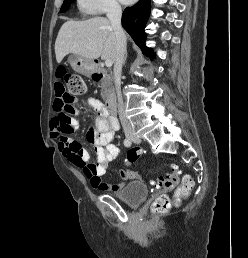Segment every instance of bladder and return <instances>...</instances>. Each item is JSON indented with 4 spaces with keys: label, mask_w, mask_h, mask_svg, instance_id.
<instances>
[{
    "label": "bladder",
    "mask_w": 248,
    "mask_h": 258,
    "mask_svg": "<svg viewBox=\"0 0 248 258\" xmlns=\"http://www.w3.org/2000/svg\"><path fill=\"white\" fill-rule=\"evenodd\" d=\"M149 194L147 186L142 182H131L115 193L121 201L130 207H137Z\"/></svg>",
    "instance_id": "obj_1"
}]
</instances>
